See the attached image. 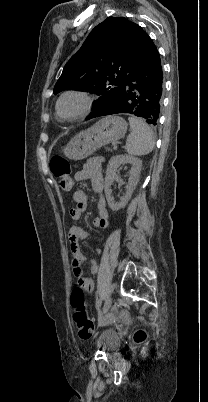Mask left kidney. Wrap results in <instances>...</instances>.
<instances>
[{"label": "left kidney", "mask_w": 208, "mask_h": 402, "mask_svg": "<svg viewBox=\"0 0 208 402\" xmlns=\"http://www.w3.org/2000/svg\"><path fill=\"white\" fill-rule=\"evenodd\" d=\"M121 164H131L132 168L130 170L129 174V180L126 188V194L125 196H122L120 202H114V198L112 196V190H111V184L112 182H115V180H119V182H122L121 178L117 176L116 170L121 166ZM142 168V162L139 160V158H134V156H127V154H122V156H113L111 158L108 166H107V172L105 176V182H104V190H105V196L106 200L108 202L109 208L113 210V212H117V210H121V208H125L126 204H128L132 194L133 190H135L138 182H139V174L141 172Z\"/></svg>", "instance_id": "1"}]
</instances>
